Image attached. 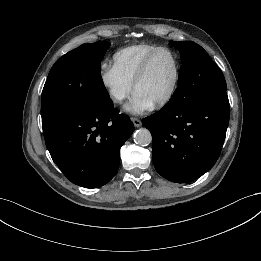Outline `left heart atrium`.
Listing matches in <instances>:
<instances>
[{
  "label": "left heart atrium",
  "mask_w": 261,
  "mask_h": 261,
  "mask_svg": "<svg viewBox=\"0 0 261 261\" xmlns=\"http://www.w3.org/2000/svg\"><path fill=\"white\" fill-rule=\"evenodd\" d=\"M153 107V102L142 93L135 91L124 109L132 114H141Z\"/></svg>",
  "instance_id": "obj_1"
}]
</instances>
